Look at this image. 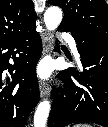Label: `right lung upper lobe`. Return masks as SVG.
Returning <instances> with one entry per match:
<instances>
[{
    "mask_svg": "<svg viewBox=\"0 0 108 127\" xmlns=\"http://www.w3.org/2000/svg\"><path fill=\"white\" fill-rule=\"evenodd\" d=\"M32 0H0V40L13 39L36 27Z\"/></svg>",
    "mask_w": 108,
    "mask_h": 127,
    "instance_id": "cb5924a9",
    "label": "right lung upper lobe"
}]
</instances>
